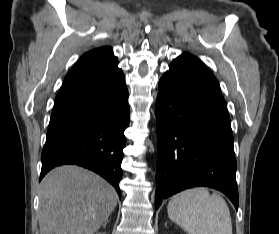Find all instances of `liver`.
<instances>
[{"mask_svg": "<svg viewBox=\"0 0 279 234\" xmlns=\"http://www.w3.org/2000/svg\"><path fill=\"white\" fill-rule=\"evenodd\" d=\"M114 188L97 174L61 166L41 182L40 234H94L117 204Z\"/></svg>", "mask_w": 279, "mask_h": 234, "instance_id": "liver-1", "label": "liver"}]
</instances>
